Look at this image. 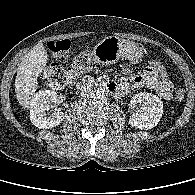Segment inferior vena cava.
<instances>
[{
    "label": "inferior vena cava",
    "mask_w": 195,
    "mask_h": 195,
    "mask_svg": "<svg viewBox=\"0 0 195 195\" xmlns=\"http://www.w3.org/2000/svg\"><path fill=\"white\" fill-rule=\"evenodd\" d=\"M93 94L94 93L91 89H83L81 90L79 97L81 99H89L93 96Z\"/></svg>",
    "instance_id": "602c4592"
}]
</instances>
